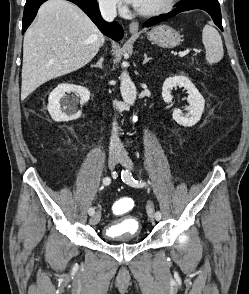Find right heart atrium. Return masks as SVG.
Returning a JSON list of instances; mask_svg holds the SVG:
<instances>
[{
	"instance_id": "right-heart-atrium-1",
	"label": "right heart atrium",
	"mask_w": 249,
	"mask_h": 294,
	"mask_svg": "<svg viewBox=\"0 0 249 294\" xmlns=\"http://www.w3.org/2000/svg\"><path fill=\"white\" fill-rule=\"evenodd\" d=\"M98 3L107 12H116L123 7L120 0H98Z\"/></svg>"
}]
</instances>
